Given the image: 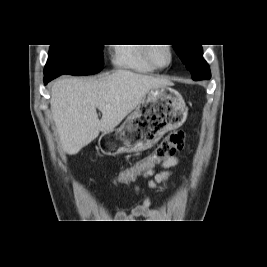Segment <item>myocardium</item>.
Here are the masks:
<instances>
[{"label": "myocardium", "mask_w": 267, "mask_h": 267, "mask_svg": "<svg viewBox=\"0 0 267 267\" xmlns=\"http://www.w3.org/2000/svg\"><path fill=\"white\" fill-rule=\"evenodd\" d=\"M165 48L168 52L169 58L168 62L164 65L159 64L155 59V51L157 48ZM146 57L149 63L154 66L156 69H166L168 68L174 60V54L172 47L168 44H151V46L146 47Z\"/></svg>", "instance_id": "myocardium-1"}]
</instances>
